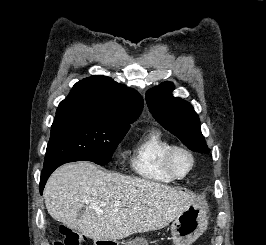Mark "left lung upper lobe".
<instances>
[{"label":"left lung upper lobe","mask_w":266,"mask_h":245,"mask_svg":"<svg viewBox=\"0 0 266 245\" xmlns=\"http://www.w3.org/2000/svg\"><path fill=\"white\" fill-rule=\"evenodd\" d=\"M174 86L170 82L151 89L146 102L153 117L168 131L178 137L190 150L209 153L200 130V120L192 106L181 98L172 96Z\"/></svg>","instance_id":"1"}]
</instances>
